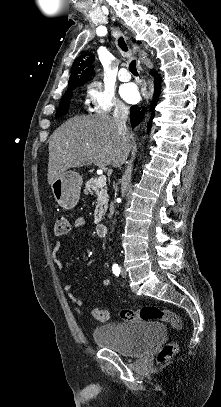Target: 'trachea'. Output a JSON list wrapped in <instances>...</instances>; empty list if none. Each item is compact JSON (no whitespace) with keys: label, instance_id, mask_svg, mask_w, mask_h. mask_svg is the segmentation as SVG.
<instances>
[{"label":"trachea","instance_id":"3493384b","mask_svg":"<svg viewBox=\"0 0 221 407\" xmlns=\"http://www.w3.org/2000/svg\"><path fill=\"white\" fill-rule=\"evenodd\" d=\"M118 44L123 51H128L127 45L122 37L118 39ZM129 71L132 74L138 75L137 68H136V61L133 60L129 65Z\"/></svg>","mask_w":221,"mask_h":407}]
</instances>
